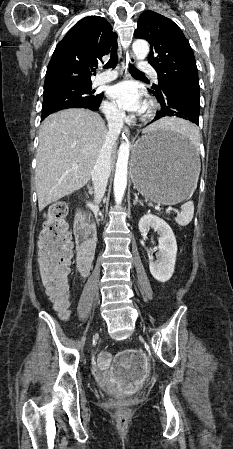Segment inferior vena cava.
Returning a JSON list of instances; mask_svg holds the SVG:
<instances>
[{"mask_svg": "<svg viewBox=\"0 0 233 449\" xmlns=\"http://www.w3.org/2000/svg\"><path fill=\"white\" fill-rule=\"evenodd\" d=\"M125 113L114 110L107 116L108 133L101 148L97 162L92 172L94 186V203L98 209L105 194L108 179L111 173V155L113 146L123 127Z\"/></svg>", "mask_w": 233, "mask_h": 449, "instance_id": "inferior-vena-cava-1", "label": "inferior vena cava"}]
</instances>
